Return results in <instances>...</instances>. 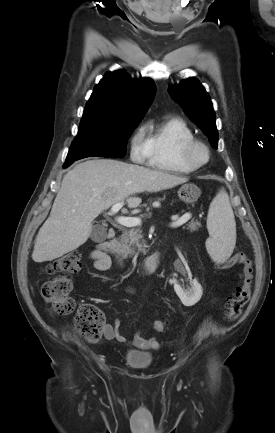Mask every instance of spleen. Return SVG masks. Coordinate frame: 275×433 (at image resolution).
I'll return each mask as SVG.
<instances>
[{
    "instance_id": "spleen-1",
    "label": "spleen",
    "mask_w": 275,
    "mask_h": 433,
    "mask_svg": "<svg viewBox=\"0 0 275 433\" xmlns=\"http://www.w3.org/2000/svg\"><path fill=\"white\" fill-rule=\"evenodd\" d=\"M210 237L206 249L211 259L224 263L233 253L236 243V223L228 194L221 190L210 204L207 216Z\"/></svg>"
}]
</instances>
